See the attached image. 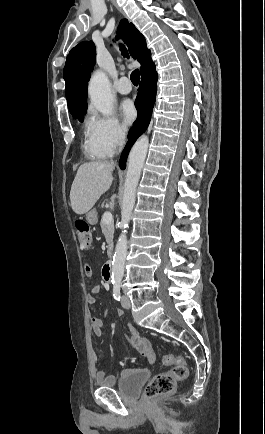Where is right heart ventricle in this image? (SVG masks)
<instances>
[{
    "label": "right heart ventricle",
    "mask_w": 265,
    "mask_h": 434,
    "mask_svg": "<svg viewBox=\"0 0 265 434\" xmlns=\"http://www.w3.org/2000/svg\"><path fill=\"white\" fill-rule=\"evenodd\" d=\"M85 146H86V149H87L86 136H85ZM93 158L99 159L98 157H94V155H93Z\"/></svg>",
    "instance_id": "right-heart-ventricle-1"
}]
</instances>
